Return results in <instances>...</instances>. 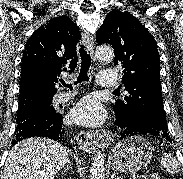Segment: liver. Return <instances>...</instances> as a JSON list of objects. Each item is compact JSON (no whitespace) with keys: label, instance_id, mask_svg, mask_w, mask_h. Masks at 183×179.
I'll list each match as a JSON object with an SVG mask.
<instances>
[{"label":"liver","instance_id":"1","mask_svg":"<svg viewBox=\"0 0 183 179\" xmlns=\"http://www.w3.org/2000/svg\"><path fill=\"white\" fill-rule=\"evenodd\" d=\"M69 161L68 151L47 138H27L9 152L3 179H54Z\"/></svg>","mask_w":183,"mask_h":179}]
</instances>
